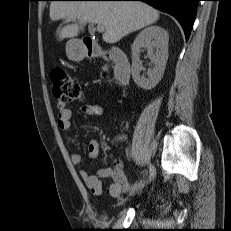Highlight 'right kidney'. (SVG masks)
<instances>
[{"label": "right kidney", "mask_w": 231, "mask_h": 231, "mask_svg": "<svg viewBox=\"0 0 231 231\" xmlns=\"http://www.w3.org/2000/svg\"><path fill=\"white\" fill-rule=\"evenodd\" d=\"M169 36L165 29L159 26H150L143 29L132 44V77L136 85L142 89L150 90L161 80L168 59ZM142 48L148 50V56L154 67L147 70L148 78L140 75L144 69L139 60Z\"/></svg>", "instance_id": "obj_1"}]
</instances>
